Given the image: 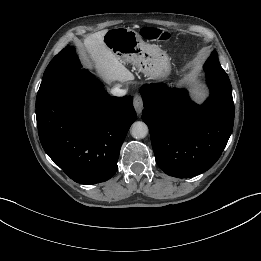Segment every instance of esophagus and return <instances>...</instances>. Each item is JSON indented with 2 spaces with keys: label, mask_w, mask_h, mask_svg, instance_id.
Returning a JSON list of instances; mask_svg holds the SVG:
<instances>
[{
  "label": "esophagus",
  "mask_w": 261,
  "mask_h": 261,
  "mask_svg": "<svg viewBox=\"0 0 261 261\" xmlns=\"http://www.w3.org/2000/svg\"><path fill=\"white\" fill-rule=\"evenodd\" d=\"M133 106L137 114H141L143 110V99L142 96L139 94H136L134 96Z\"/></svg>",
  "instance_id": "34e87169"
}]
</instances>
